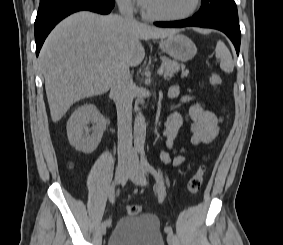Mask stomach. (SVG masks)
Instances as JSON below:
<instances>
[{"mask_svg":"<svg viewBox=\"0 0 283 245\" xmlns=\"http://www.w3.org/2000/svg\"><path fill=\"white\" fill-rule=\"evenodd\" d=\"M160 49L178 61H189L197 53L196 45L187 36L175 33L161 41Z\"/></svg>","mask_w":283,"mask_h":245,"instance_id":"stomach-1","label":"stomach"}]
</instances>
